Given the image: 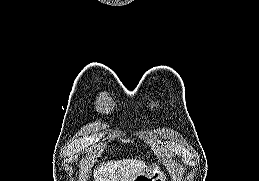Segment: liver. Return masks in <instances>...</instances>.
I'll return each instance as SVG.
<instances>
[{
  "instance_id": "1",
  "label": "liver",
  "mask_w": 259,
  "mask_h": 181,
  "mask_svg": "<svg viewBox=\"0 0 259 181\" xmlns=\"http://www.w3.org/2000/svg\"><path fill=\"white\" fill-rule=\"evenodd\" d=\"M145 167L143 161L136 159L108 162L94 170V179L95 181H133L144 171Z\"/></svg>"
}]
</instances>
